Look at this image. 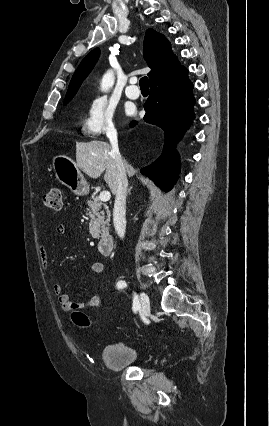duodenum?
Returning a JSON list of instances; mask_svg holds the SVG:
<instances>
[{
	"label": "duodenum",
	"mask_w": 269,
	"mask_h": 426,
	"mask_svg": "<svg viewBox=\"0 0 269 426\" xmlns=\"http://www.w3.org/2000/svg\"><path fill=\"white\" fill-rule=\"evenodd\" d=\"M113 245H114V238L112 234L110 233L103 234L100 237L98 242V249L100 254L105 256L110 255L113 250Z\"/></svg>",
	"instance_id": "duodenum-1"
}]
</instances>
